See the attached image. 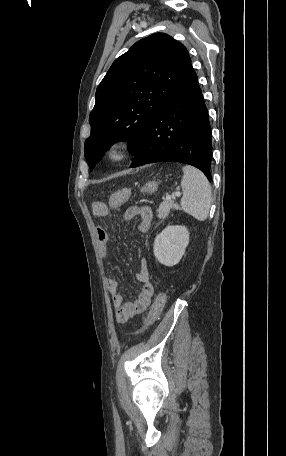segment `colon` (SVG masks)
Segmentation results:
<instances>
[{"label":"colon","instance_id":"obj_1","mask_svg":"<svg viewBox=\"0 0 286 456\" xmlns=\"http://www.w3.org/2000/svg\"><path fill=\"white\" fill-rule=\"evenodd\" d=\"M129 196H130V190H128V189L120 190L111 195L109 204L113 205V206L121 205L127 201ZM106 206L107 205L105 203L96 202L94 204V209L97 212H101L106 208ZM166 300H167V294L165 292H160L156 296L154 303H153L147 317L142 322L141 328H146V327L150 326L160 316V314L165 306Z\"/></svg>","mask_w":286,"mask_h":456}]
</instances>
